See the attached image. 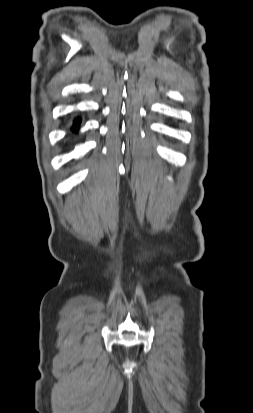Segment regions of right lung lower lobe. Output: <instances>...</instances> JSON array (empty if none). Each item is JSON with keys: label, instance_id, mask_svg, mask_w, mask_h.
<instances>
[{"label": "right lung lower lobe", "instance_id": "obj_1", "mask_svg": "<svg viewBox=\"0 0 253 413\" xmlns=\"http://www.w3.org/2000/svg\"><path fill=\"white\" fill-rule=\"evenodd\" d=\"M80 119H76L73 123L72 131H78V124L80 123Z\"/></svg>", "mask_w": 253, "mask_h": 413}]
</instances>
